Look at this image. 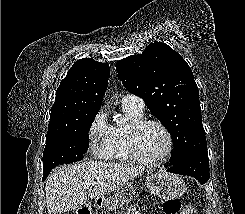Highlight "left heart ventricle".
I'll list each match as a JSON object with an SVG mask.
<instances>
[{
	"label": "left heart ventricle",
	"mask_w": 245,
	"mask_h": 214,
	"mask_svg": "<svg viewBox=\"0 0 245 214\" xmlns=\"http://www.w3.org/2000/svg\"><path fill=\"white\" fill-rule=\"evenodd\" d=\"M140 152L147 158L159 157L167 147V138L157 126H147L141 130L137 137Z\"/></svg>",
	"instance_id": "left-heart-ventricle-1"
}]
</instances>
